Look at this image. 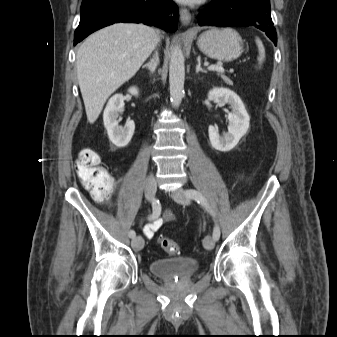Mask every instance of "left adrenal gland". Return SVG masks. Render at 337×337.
<instances>
[{
    "label": "left adrenal gland",
    "mask_w": 337,
    "mask_h": 337,
    "mask_svg": "<svg viewBox=\"0 0 337 337\" xmlns=\"http://www.w3.org/2000/svg\"><path fill=\"white\" fill-rule=\"evenodd\" d=\"M198 64L196 66V73L198 74L199 72H202V73H207L206 70H204L202 67H201V60H200V57H198Z\"/></svg>",
    "instance_id": "left-adrenal-gland-1"
}]
</instances>
